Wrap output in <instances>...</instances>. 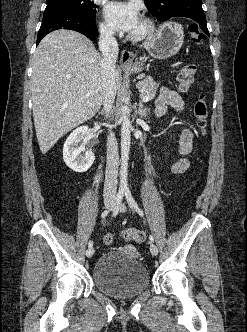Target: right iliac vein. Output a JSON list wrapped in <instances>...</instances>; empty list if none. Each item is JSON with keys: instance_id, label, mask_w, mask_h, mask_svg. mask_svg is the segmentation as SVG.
Returning a JSON list of instances; mask_svg holds the SVG:
<instances>
[{"instance_id": "1", "label": "right iliac vein", "mask_w": 247, "mask_h": 332, "mask_svg": "<svg viewBox=\"0 0 247 332\" xmlns=\"http://www.w3.org/2000/svg\"><path fill=\"white\" fill-rule=\"evenodd\" d=\"M104 204H105L106 208L110 209V208L113 207L114 202H113V200H111V199H107V200H105ZM94 251H95V250H94L93 247L88 248V250L86 251V256H87L88 258L92 257L93 254H94Z\"/></svg>"}]
</instances>
